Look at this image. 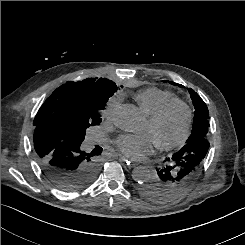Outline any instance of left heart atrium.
<instances>
[{
  "mask_svg": "<svg viewBox=\"0 0 245 245\" xmlns=\"http://www.w3.org/2000/svg\"><path fill=\"white\" fill-rule=\"evenodd\" d=\"M116 147L125 157L141 160L152 153L154 142L149 134L122 135L116 141Z\"/></svg>",
  "mask_w": 245,
  "mask_h": 245,
  "instance_id": "1",
  "label": "left heart atrium"
}]
</instances>
